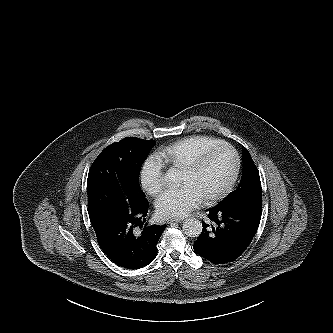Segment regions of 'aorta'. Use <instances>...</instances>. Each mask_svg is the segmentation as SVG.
Listing matches in <instances>:
<instances>
[{"mask_svg":"<svg viewBox=\"0 0 333 333\" xmlns=\"http://www.w3.org/2000/svg\"><path fill=\"white\" fill-rule=\"evenodd\" d=\"M167 180L174 179V171L173 169L168 170L165 175ZM183 232L186 236L190 238H197L202 232V223L200 220L196 218H188L183 223Z\"/></svg>","mask_w":333,"mask_h":333,"instance_id":"762f6f07","label":"aorta"}]
</instances>
